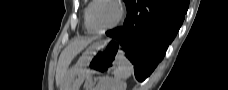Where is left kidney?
Instances as JSON below:
<instances>
[{
    "label": "left kidney",
    "mask_w": 228,
    "mask_h": 90,
    "mask_svg": "<svg viewBox=\"0 0 228 90\" xmlns=\"http://www.w3.org/2000/svg\"><path fill=\"white\" fill-rule=\"evenodd\" d=\"M126 82L117 81L110 77L102 78L94 90H126Z\"/></svg>",
    "instance_id": "left-kidney-1"
}]
</instances>
